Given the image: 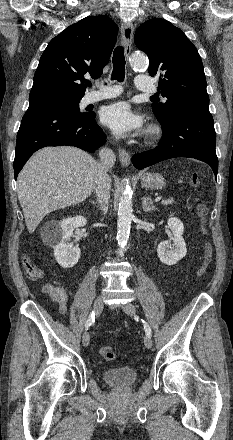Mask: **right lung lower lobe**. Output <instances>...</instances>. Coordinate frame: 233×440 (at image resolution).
I'll return each mask as SVG.
<instances>
[{
  "label": "right lung lower lobe",
  "instance_id": "right-lung-lower-lobe-1",
  "mask_svg": "<svg viewBox=\"0 0 233 440\" xmlns=\"http://www.w3.org/2000/svg\"><path fill=\"white\" fill-rule=\"evenodd\" d=\"M105 143V134L96 124L95 113L80 115L57 106H29L16 141L14 176L40 148L70 145L94 152Z\"/></svg>",
  "mask_w": 233,
  "mask_h": 440
}]
</instances>
